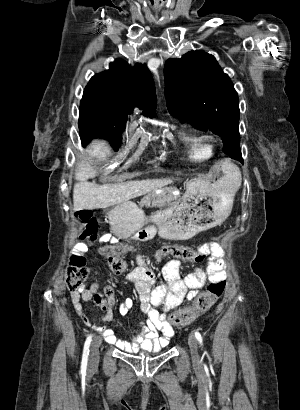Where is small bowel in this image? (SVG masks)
Here are the masks:
<instances>
[{
  "instance_id": "obj_1",
  "label": "small bowel",
  "mask_w": 300,
  "mask_h": 410,
  "mask_svg": "<svg viewBox=\"0 0 300 410\" xmlns=\"http://www.w3.org/2000/svg\"><path fill=\"white\" fill-rule=\"evenodd\" d=\"M135 239L140 238L135 236ZM109 238L104 236L103 240ZM90 244L77 243L74 246V254L80 256L89 251ZM201 250L209 255L204 268L181 276L177 260L168 261L162 270L164 282L157 283L154 271L147 266L144 257L137 253L135 260L137 266L127 273L126 278L131 282L138 293L141 310L146 316L145 321L140 322V330L136 331L131 341L119 339L111 328L106 326L93 327L101 332L105 341L122 351L134 353L139 349L158 351L166 346L174 335L172 325L166 319V313L179 307L184 301L190 300L195 293L201 290L207 281L222 280L225 278L224 252L220 245L215 242L206 243ZM106 251L105 247L98 248L100 254ZM100 292V284L92 282L90 286L79 292H71V301L74 309L82 322L91 326V321L84 311L82 301H93L103 312L102 321L110 322L114 317L116 305L115 293L110 285ZM134 307V301L127 298L118 307L121 315L128 314Z\"/></svg>"
}]
</instances>
